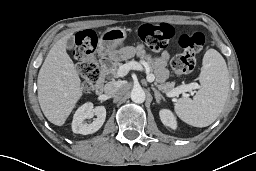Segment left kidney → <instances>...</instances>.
<instances>
[{
    "mask_svg": "<svg viewBox=\"0 0 256 171\" xmlns=\"http://www.w3.org/2000/svg\"><path fill=\"white\" fill-rule=\"evenodd\" d=\"M160 119L162 123L170 127L171 129H176L177 128V121L173 113L169 109H162L159 112Z\"/></svg>",
    "mask_w": 256,
    "mask_h": 171,
    "instance_id": "1",
    "label": "left kidney"
}]
</instances>
